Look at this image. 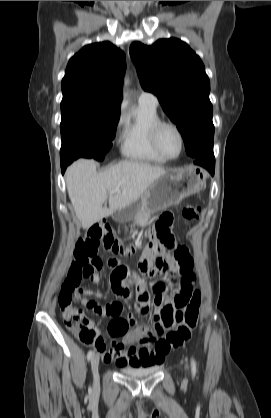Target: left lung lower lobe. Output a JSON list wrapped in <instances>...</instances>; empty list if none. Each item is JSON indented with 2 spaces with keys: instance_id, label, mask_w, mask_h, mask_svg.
Here are the masks:
<instances>
[{
  "instance_id": "obj_1",
  "label": "left lung lower lobe",
  "mask_w": 271,
  "mask_h": 418,
  "mask_svg": "<svg viewBox=\"0 0 271 418\" xmlns=\"http://www.w3.org/2000/svg\"><path fill=\"white\" fill-rule=\"evenodd\" d=\"M195 164L203 166L212 175L214 174L215 158H214V154L213 153L212 154H209V155L201 156L199 158H196Z\"/></svg>"
}]
</instances>
